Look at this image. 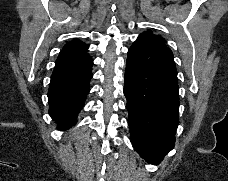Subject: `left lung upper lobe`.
<instances>
[{"label":"left lung upper lobe","instance_id":"left-lung-upper-lobe-1","mask_svg":"<svg viewBox=\"0 0 228 181\" xmlns=\"http://www.w3.org/2000/svg\"><path fill=\"white\" fill-rule=\"evenodd\" d=\"M139 37L151 38V39H154V40H156V41L165 43V39H163V38H162L161 36H159V35H154V34H152V32H145V33H142Z\"/></svg>","mask_w":228,"mask_h":181}]
</instances>
